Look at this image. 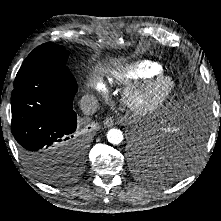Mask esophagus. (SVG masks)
<instances>
[{
  "label": "esophagus",
  "instance_id": "1",
  "mask_svg": "<svg viewBox=\"0 0 221 221\" xmlns=\"http://www.w3.org/2000/svg\"><path fill=\"white\" fill-rule=\"evenodd\" d=\"M103 123L105 127H112L114 125V119L113 117H107Z\"/></svg>",
  "mask_w": 221,
  "mask_h": 221
}]
</instances>
